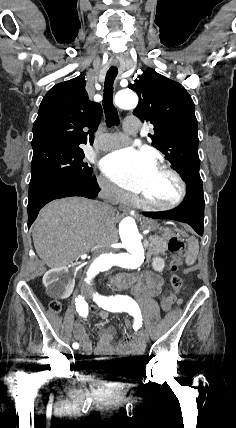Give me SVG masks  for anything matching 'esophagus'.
<instances>
[{
  "label": "esophagus",
  "instance_id": "34e87169",
  "mask_svg": "<svg viewBox=\"0 0 236 428\" xmlns=\"http://www.w3.org/2000/svg\"><path fill=\"white\" fill-rule=\"evenodd\" d=\"M110 64L111 65H119V62L118 61H113V62H110ZM122 208V207H121Z\"/></svg>",
  "mask_w": 236,
  "mask_h": 428
}]
</instances>
